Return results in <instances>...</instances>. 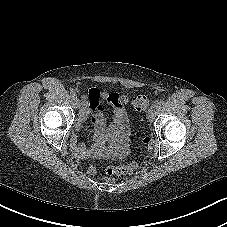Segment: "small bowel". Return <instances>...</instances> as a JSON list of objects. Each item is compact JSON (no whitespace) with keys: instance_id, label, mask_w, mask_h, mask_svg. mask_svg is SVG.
Instances as JSON below:
<instances>
[{"instance_id":"c3829d8e","label":"small bowel","mask_w":227,"mask_h":227,"mask_svg":"<svg viewBox=\"0 0 227 227\" xmlns=\"http://www.w3.org/2000/svg\"><path fill=\"white\" fill-rule=\"evenodd\" d=\"M103 103L113 109L110 125H107L103 114ZM89 118L95 126V136L93 144L87 147L78 142L77 133ZM129 134L130 129L122 97L117 93L101 92L97 88L89 89L88 93L83 96V108L71 136V148L74 154L79 158L124 157L128 152Z\"/></svg>"}]
</instances>
